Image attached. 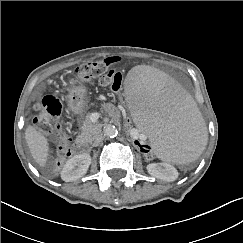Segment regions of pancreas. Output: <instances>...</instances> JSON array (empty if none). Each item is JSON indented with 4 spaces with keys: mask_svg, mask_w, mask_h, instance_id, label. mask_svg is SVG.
Listing matches in <instances>:
<instances>
[{
    "mask_svg": "<svg viewBox=\"0 0 243 243\" xmlns=\"http://www.w3.org/2000/svg\"><path fill=\"white\" fill-rule=\"evenodd\" d=\"M100 131L101 127L92 123L89 115H87L81 128V134L77 137V140L85 143H91L93 138L98 135Z\"/></svg>",
    "mask_w": 243,
    "mask_h": 243,
    "instance_id": "pancreas-1",
    "label": "pancreas"
}]
</instances>
